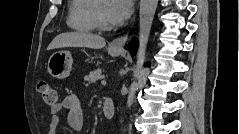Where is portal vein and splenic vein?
I'll list each match as a JSON object with an SVG mask.
<instances>
[{
    "mask_svg": "<svg viewBox=\"0 0 239 134\" xmlns=\"http://www.w3.org/2000/svg\"><path fill=\"white\" fill-rule=\"evenodd\" d=\"M101 83L104 85V84H106V81H105V80H102Z\"/></svg>",
    "mask_w": 239,
    "mask_h": 134,
    "instance_id": "1",
    "label": "portal vein and splenic vein"
}]
</instances>
